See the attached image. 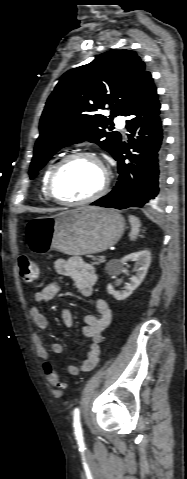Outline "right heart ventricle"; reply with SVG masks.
<instances>
[{
  "label": "right heart ventricle",
  "instance_id": "1",
  "mask_svg": "<svg viewBox=\"0 0 187 479\" xmlns=\"http://www.w3.org/2000/svg\"><path fill=\"white\" fill-rule=\"evenodd\" d=\"M55 163H51L44 171L43 175H42V178H41V192H42V195L43 197L46 199V200H50V198L48 197L47 193H46V184H47V180H48V177H49V174L52 170V168L54 167Z\"/></svg>",
  "mask_w": 187,
  "mask_h": 479
}]
</instances>
